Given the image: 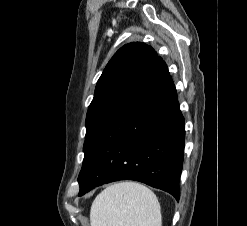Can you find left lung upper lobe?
<instances>
[{
    "mask_svg": "<svg viewBox=\"0 0 247 226\" xmlns=\"http://www.w3.org/2000/svg\"><path fill=\"white\" fill-rule=\"evenodd\" d=\"M157 58L153 48L139 42L124 45L111 58L97 82L87 111L84 160Z\"/></svg>",
    "mask_w": 247,
    "mask_h": 226,
    "instance_id": "5c2ea615",
    "label": "left lung upper lobe"
}]
</instances>
